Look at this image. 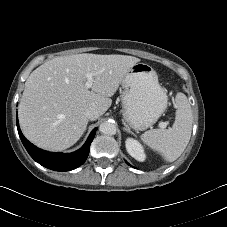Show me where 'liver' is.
<instances>
[{
    "label": "liver",
    "instance_id": "1",
    "mask_svg": "<svg viewBox=\"0 0 227 227\" xmlns=\"http://www.w3.org/2000/svg\"><path fill=\"white\" fill-rule=\"evenodd\" d=\"M140 62L127 55L76 54L55 57L25 82L18 116L24 136L40 148L62 151L74 145L88 124L86 109L103 115L130 68ZM94 82L86 88V73Z\"/></svg>",
    "mask_w": 227,
    "mask_h": 227
}]
</instances>
